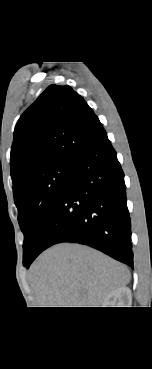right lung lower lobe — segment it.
Listing matches in <instances>:
<instances>
[{
  "instance_id": "obj_1",
  "label": "right lung lower lobe",
  "mask_w": 152,
  "mask_h": 369,
  "mask_svg": "<svg viewBox=\"0 0 152 369\" xmlns=\"http://www.w3.org/2000/svg\"><path fill=\"white\" fill-rule=\"evenodd\" d=\"M124 173L103 133L71 161L65 184L44 225L32 261L48 247L80 243L133 267Z\"/></svg>"
}]
</instances>
